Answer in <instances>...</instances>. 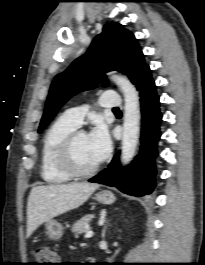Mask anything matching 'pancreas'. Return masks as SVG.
<instances>
[{"label": "pancreas", "instance_id": "1", "mask_svg": "<svg viewBox=\"0 0 205 265\" xmlns=\"http://www.w3.org/2000/svg\"><path fill=\"white\" fill-rule=\"evenodd\" d=\"M91 219V215H86L72 226V232L74 233L75 237H78L79 234L87 232L90 229L89 222Z\"/></svg>", "mask_w": 205, "mask_h": 265}]
</instances>
